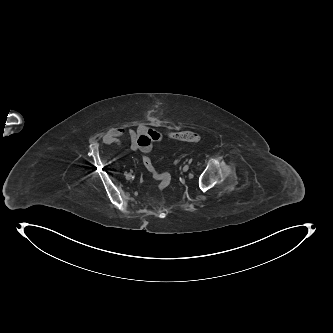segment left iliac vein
I'll return each instance as SVG.
<instances>
[{"mask_svg":"<svg viewBox=\"0 0 333 333\" xmlns=\"http://www.w3.org/2000/svg\"><path fill=\"white\" fill-rule=\"evenodd\" d=\"M188 169H189V165H185V166L183 167L182 171H183V172H186V171H188Z\"/></svg>","mask_w":333,"mask_h":333,"instance_id":"4c4485c4","label":"left iliac vein"}]
</instances>
